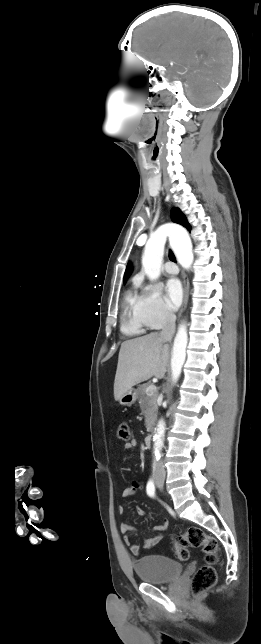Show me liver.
Masks as SVG:
<instances>
[{"mask_svg":"<svg viewBox=\"0 0 261 644\" xmlns=\"http://www.w3.org/2000/svg\"><path fill=\"white\" fill-rule=\"evenodd\" d=\"M159 333L127 340L121 344L114 381L116 401L136 384L165 376L169 353Z\"/></svg>","mask_w":261,"mask_h":644,"instance_id":"obj_1","label":"liver"}]
</instances>
